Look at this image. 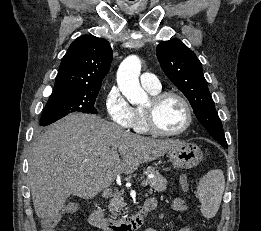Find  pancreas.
I'll list each match as a JSON object with an SVG mask.
<instances>
[{"label": "pancreas", "instance_id": "1", "mask_svg": "<svg viewBox=\"0 0 261 231\" xmlns=\"http://www.w3.org/2000/svg\"><path fill=\"white\" fill-rule=\"evenodd\" d=\"M147 174H152L153 177L148 180V184L152 189L157 192H164L167 189V180L156 170L154 167L149 166L146 169ZM125 203L123 198L120 196L118 192H115L113 198L110 200V204L108 206L112 216H116L114 212H121L123 211V207Z\"/></svg>", "mask_w": 261, "mask_h": 231}]
</instances>
